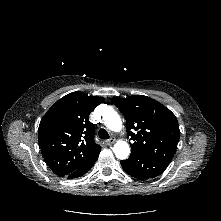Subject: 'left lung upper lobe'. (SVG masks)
<instances>
[{
	"label": "left lung upper lobe",
	"instance_id": "left-lung-upper-lobe-1",
	"mask_svg": "<svg viewBox=\"0 0 221 221\" xmlns=\"http://www.w3.org/2000/svg\"><path fill=\"white\" fill-rule=\"evenodd\" d=\"M112 101L126 119V131L132 140L130 156L170 163L180 137L175 115L158 101L143 95Z\"/></svg>",
	"mask_w": 221,
	"mask_h": 221
}]
</instances>
